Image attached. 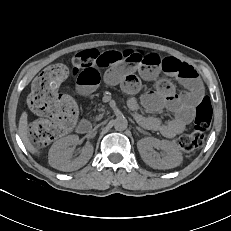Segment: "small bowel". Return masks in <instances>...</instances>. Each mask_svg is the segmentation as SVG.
<instances>
[{
	"label": "small bowel",
	"mask_w": 231,
	"mask_h": 231,
	"mask_svg": "<svg viewBox=\"0 0 231 231\" xmlns=\"http://www.w3.org/2000/svg\"><path fill=\"white\" fill-rule=\"evenodd\" d=\"M115 52L117 51L107 53ZM101 68L98 64H92L78 73V93L87 96L103 81L108 85H120L126 93L135 94L141 88V79L136 74L138 71L144 80L156 82L153 91L143 94V106L151 112L167 109L173 114V119L162 122L155 117L139 114L136 118L145 128L159 131L166 137H174L185 129L194 115L195 107L203 99V87L194 68L172 57L160 58L152 54L144 62L118 61L110 64L103 75L100 73ZM161 73L178 79L185 91L177 93L169 81L159 79ZM129 106L136 109L137 102L131 99Z\"/></svg>",
	"instance_id": "c3829d8e"
}]
</instances>
